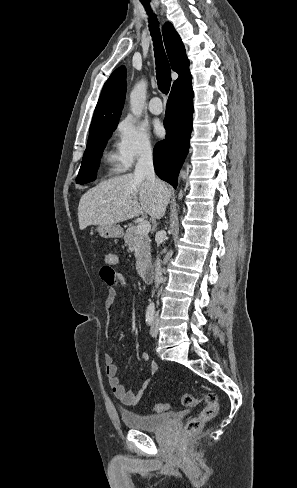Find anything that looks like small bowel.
<instances>
[{
    "label": "small bowel",
    "instance_id": "1",
    "mask_svg": "<svg viewBox=\"0 0 297 488\" xmlns=\"http://www.w3.org/2000/svg\"><path fill=\"white\" fill-rule=\"evenodd\" d=\"M107 260L104 262L110 264L111 266L117 263V256L112 253H108L105 255ZM126 278L124 274L121 272H114V282L109 285L107 297H106V306L107 308H111L112 305L115 303L118 297V289L124 288L126 286ZM141 358L145 362H150L149 364V373L150 375H154L158 370V364L155 360H150L148 354L143 353ZM104 364H105V372L107 375V379L110 385V388L114 395L125 405L134 406L136 405L141 398L147 387L150 384V378H147L143 381L141 387L136 391H132L127 389L120 381L118 377V367L113 359V356L110 353H105L104 357Z\"/></svg>",
    "mask_w": 297,
    "mask_h": 488
}]
</instances>
